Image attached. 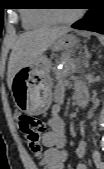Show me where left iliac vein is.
Here are the masks:
<instances>
[{
  "mask_svg": "<svg viewBox=\"0 0 104 169\" xmlns=\"http://www.w3.org/2000/svg\"><path fill=\"white\" fill-rule=\"evenodd\" d=\"M99 169H104V165L102 162H101V164H99Z\"/></svg>",
  "mask_w": 104,
  "mask_h": 169,
  "instance_id": "4c4485c4",
  "label": "left iliac vein"
}]
</instances>
